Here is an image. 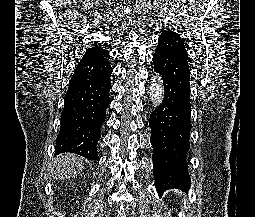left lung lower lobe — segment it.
Listing matches in <instances>:
<instances>
[{"mask_svg":"<svg viewBox=\"0 0 255 217\" xmlns=\"http://www.w3.org/2000/svg\"><path fill=\"white\" fill-rule=\"evenodd\" d=\"M155 72L163 79L164 99L149 119L153 173L159 193L190 186L186 162L191 130L190 69L187 57L161 46L153 55Z\"/></svg>","mask_w":255,"mask_h":217,"instance_id":"0a47b994","label":"left lung lower lobe"}]
</instances>
